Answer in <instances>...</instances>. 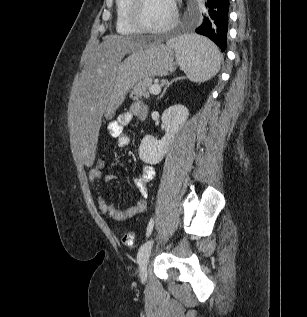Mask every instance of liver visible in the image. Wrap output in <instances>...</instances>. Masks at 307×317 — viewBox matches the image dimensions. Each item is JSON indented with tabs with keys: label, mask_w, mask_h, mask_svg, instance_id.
<instances>
[{
	"label": "liver",
	"mask_w": 307,
	"mask_h": 317,
	"mask_svg": "<svg viewBox=\"0 0 307 317\" xmlns=\"http://www.w3.org/2000/svg\"><path fill=\"white\" fill-rule=\"evenodd\" d=\"M142 41L108 35L91 54L73 86L68 110L70 139L78 148L82 167H95V149L105 100L121 59L144 46Z\"/></svg>",
	"instance_id": "liver-1"
}]
</instances>
